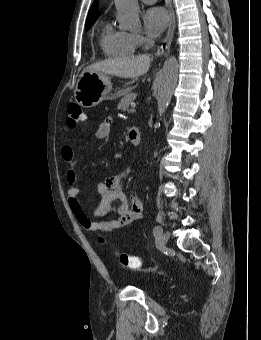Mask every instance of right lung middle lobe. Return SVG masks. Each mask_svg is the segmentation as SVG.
I'll return each mask as SVG.
<instances>
[{"label": "right lung middle lobe", "instance_id": "right-lung-middle-lobe-1", "mask_svg": "<svg viewBox=\"0 0 261 340\" xmlns=\"http://www.w3.org/2000/svg\"><path fill=\"white\" fill-rule=\"evenodd\" d=\"M93 23H94V21H92V22H87V23H86V30H88V29L92 26Z\"/></svg>", "mask_w": 261, "mask_h": 340}]
</instances>
